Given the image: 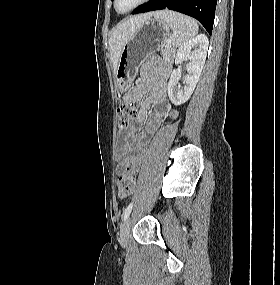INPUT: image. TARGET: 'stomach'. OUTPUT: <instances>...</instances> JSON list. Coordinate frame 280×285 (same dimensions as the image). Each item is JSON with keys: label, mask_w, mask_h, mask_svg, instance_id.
I'll use <instances>...</instances> for the list:
<instances>
[{"label": "stomach", "mask_w": 280, "mask_h": 285, "mask_svg": "<svg viewBox=\"0 0 280 285\" xmlns=\"http://www.w3.org/2000/svg\"><path fill=\"white\" fill-rule=\"evenodd\" d=\"M171 32L161 18L145 21L125 43L115 72L120 92H126L136 76L140 63L151 53L162 49Z\"/></svg>", "instance_id": "obj_1"}]
</instances>
